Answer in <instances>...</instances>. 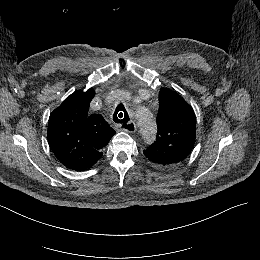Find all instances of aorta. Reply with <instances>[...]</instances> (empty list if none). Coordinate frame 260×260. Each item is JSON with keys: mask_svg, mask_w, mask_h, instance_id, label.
<instances>
[{"mask_svg": "<svg viewBox=\"0 0 260 260\" xmlns=\"http://www.w3.org/2000/svg\"><path fill=\"white\" fill-rule=\"evenodd\" d=\"M136 118L138 120V126L140 127V131L144 140L146 142H152L155 139L157 126L151 113L146 109L139 108L136 111Z\"/></svg>", "mask_w": 260, "mask_h": 260, "instance_id": "1", "label": "aorta"}]
</instances>
